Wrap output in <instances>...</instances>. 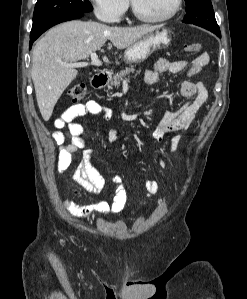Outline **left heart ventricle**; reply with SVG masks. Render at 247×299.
<instances>
[{"instance_id":"obj_1","label":"left heart ventricle","mask_w":247,"mask_h":299,"mask_svg":"<svg viewBox=\"0 0 247 299\" xmlns=\"http://www.w3.org/2000/svg\"><path fill=\"white\" fill-rule=\"evenodd\" d=\"M137 8L146 16L157 17L167 14L175 0H134Z\"/></svg>"}]
</instances>
